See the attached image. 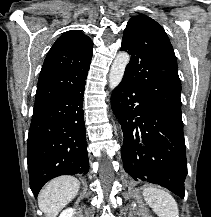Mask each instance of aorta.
Listing matches in <instances>:
<instances>
[{
  "label": "aorta",
  "instance_id": "aorta-1",
  "mask_svg": "<svg viewBox=\"0 0 211 217\" xmlns=\"http://www.w3.org/2000/svg\"><path fill=\"white\" fill-rule=\"evenodd\" d=\"M130 61V56L126 52H120L115 58L109 73V87L116 88L121 82L125 68Z\"/></svg>",
  "mask_w": 211,
  "mask_h": 217
}]
</instances>
